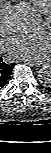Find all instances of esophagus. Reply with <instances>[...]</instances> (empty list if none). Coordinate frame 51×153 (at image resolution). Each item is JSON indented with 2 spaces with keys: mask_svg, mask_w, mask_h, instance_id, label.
Wrapping results in <instances>:
<instances>
[{
  "mask_svg": "<svg viewBox=\"0 0 51 153\" xmlns=\"http://www.w3.org/2000/svg\"><path fill=\"white\" fill-rule=\"evenodd\" d=\"M24 62L28 63L31 66H36V67H40L42 65H45V63H43V62H33V61H28V60H24Z\"/></svg>",
  "mask_w": 51,
  "mask_h": 153,
  "instance_id": "obj_1",
  "label": "esophagus"
}]
</instances>
